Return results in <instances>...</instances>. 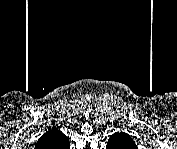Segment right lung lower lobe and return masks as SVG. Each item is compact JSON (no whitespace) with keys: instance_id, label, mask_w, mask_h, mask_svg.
Returning a JSON list of instances; mask_svg holds the SVG:
<instances>
[{"instance_id":"right-lung-lower-lobe-1","label":"right lung lower lobe","mask_w":177,"mask_h":149,"mask_svg":"<svg viewBox=\"0 0 177 149\" xmlns=\"http://www.w3.org/2000/svg\"><path fill=\"white\" fill-rule=\"evenodd\" d=\"M55 137H56L55 135H54V137H53V135L42 136V137L38 140L37 146H38L39 148H41V147H43V146H48L47 143H49L50 141L54 140ZM69 147H70L69 143H65V144L63 145V148H65V149H69Z\"/></svg>"}]
</instances>
